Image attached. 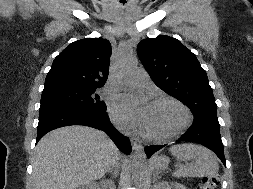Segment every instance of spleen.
<instances>
[{
  "mask_svg": "<svg viewBox=\"0 0 253 189\" xmlns=\"http://www.w3.org/2000/svg\"><path fill=\"white\" fill-rule=\"evenodd\" d=\"M169 151L178 161H195L191 164H180L179 168L173 173L174 176L213 177L218 173L217 157L206 147L184 143L172 146Z\"/></svg>",
  "mask_w": 253,
  "mask_h": 189,
  "instance_id": "1",
  "label": "spleen"
}]
</instances>
